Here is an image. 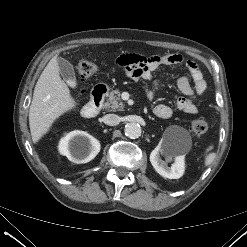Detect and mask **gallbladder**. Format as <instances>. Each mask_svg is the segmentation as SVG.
<instances>
[{
	"mask_svg": "<svg viewBox=\"0 0 247 247\" xmlns=\"http://www.w3.org/2000/svg\"><path fill=\"white\" fill-rule=\"evenodd\" d=\"M60 74L69 86L74 87L76 84V76L73 65L62 57L57 58Z\"/></svg>",
	"mask_w": 247,
	"mask_h": 247,
	"instance_id": "obj_1",
	"label": "gallbladder"
}]
</instances>
